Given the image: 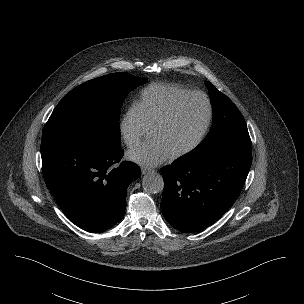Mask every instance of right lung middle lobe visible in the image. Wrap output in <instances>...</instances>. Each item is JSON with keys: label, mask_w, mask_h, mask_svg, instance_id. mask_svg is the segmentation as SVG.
<instances>
[{"label": "right lung middle lobe", "mask_w": 304, "mask_h": 304, "mask_svg": "<svg viewBox=\"0 0 304 304\" xmlns=\"http://www.w3.org/2000/svg\"><path fill=\"white\" fill-rule=\"evenodd\" d=\"M129 73H113L87 81L58 103L44 126L41 144L79 138L120 148L119 114L123 100L146 83Z\"/></svg>", "instance_id": "obj_1"}]
</instances>
